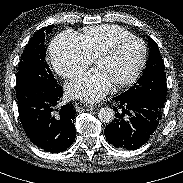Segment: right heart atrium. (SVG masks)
<instances>
[{"instance_id": "obj_1", "label": "right heart atrium", "mask_w": 183, "mask_h": 183, "mask_svg": "<svg viewBox=\"0 0 183 183\" xmlns=\"http://www.w3.org/2000/svg\"><path fill=\"white\" fill-rule=\"evenodd\" d=\"M50 57L55 71L67 79L78 77L92 61L79 36L71 32H63L53 39Z\"/></svg>"}]
</instances>
